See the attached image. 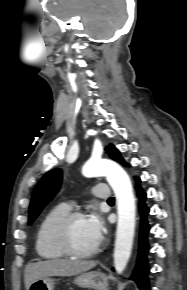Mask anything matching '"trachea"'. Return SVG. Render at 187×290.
<instances>
[{"instance_id":"trachea-1","label":"trachea","mask_w":187,"mask_h":290,"mask_svg":"<svg viewBox=\"0 0 187 290\" xmlns=\"http://www.w3.org/2000/svg\"><path fill=\"white\" fill-rule=\"evenodd\" d=\"M108 201H114V197L109 198Z\"/></svg>"}]
</instances>
